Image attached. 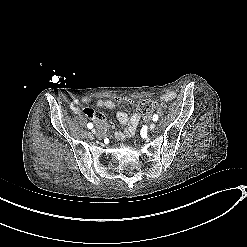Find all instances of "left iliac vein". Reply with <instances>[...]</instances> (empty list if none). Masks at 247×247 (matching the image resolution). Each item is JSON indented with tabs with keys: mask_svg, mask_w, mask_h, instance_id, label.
I'll list each match as a JSON object with an SVG mask.
<instances>
[{
	"mask_svg": "<svg viewBox=\"0 0 247 247\" xmlns=\"http://www.w3.org/2000/svg\"><path fill=\"white\" fill-rule=\"evenodd\" d=\"M155 123H151L150 126H149V130L152 131L155 129Z\"/></svg>",
	"mask_w": 247,
	"mask_h": 247,
	"instance_id": "left-iliac-vein-1",
	"label": "left iliac vein"
}]
</instances>
